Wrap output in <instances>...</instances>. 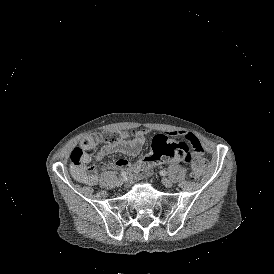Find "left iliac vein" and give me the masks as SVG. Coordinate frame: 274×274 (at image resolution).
I'll return each mask as SVG.
<instances>
[{
  "mask_svg": "<svg viewBox=\"0 0 274 274\" xmlns=\"http://www.w3.org/2000/svg\"><path fill=\"white\" fill-rule=\"evenodd\" d=\"M162 184L165 187L169 188V187H171L173 185V182L171 180L167 179V178H163L162 179Z\"/></svg>",
  "mask_w": 274,
  "mask_h": 274,
  "instance_id": "4c4485c4",
  "label": "left iliac vein"
}]
</instances>
